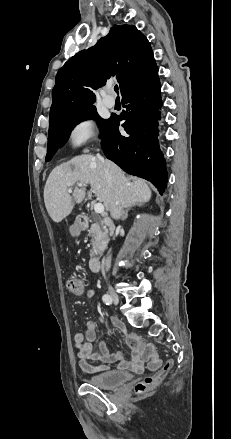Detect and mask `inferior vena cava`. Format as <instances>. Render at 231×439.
Wrapping results in <instances>:
<instances>
[{"label": "inferior vena cava", "mask_w": 231, "mask_h": 439, "mask_svg": "<svg viewBox=\"0 0 231 439\" xmlns=\"http://www.w3.org/2000/svg\"><path fill=\"white\" fill-rule=\"evenodd\" d=\"M97 158L105 165V175L107 178V182L109 187L112 189L113 188V177L112 174L110 172V165L108 163H106L103 159V157H101L99 154H97ZM111 266V255H108L107 257H104L102 260V269L105 271H108L110 269Z\"/></svg>", "instance_id": "inferior-vena-cava-1"}]
</instances>
